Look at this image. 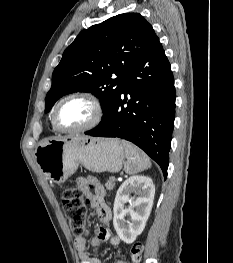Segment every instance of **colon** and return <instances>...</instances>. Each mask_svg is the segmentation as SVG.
I'll return each instance as SVG.
<instances>
[{"mask_svg": "<svg viewBox=\"0 0 233 263\" xmlns=\"http://www.w3.org/2000/svg\"><path fill=\"white\" fill-rule=\"evenodd\" d=\"M62 205L65 216L72 228L73 235L82 236L86 224V206L78 189L70 187L62 193ZM144 244L135 242L131 246L130 255L132 263H139L144 253Z\"/></svg>", "mask_w": 233, "mask_h": 263, "instance_id": "1", "label": "colon"}]
</instances>
